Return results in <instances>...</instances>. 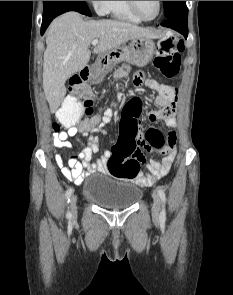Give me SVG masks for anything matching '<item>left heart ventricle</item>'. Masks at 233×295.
I'll return each instance as SVG.
<instances>
[{
  "label": "left heart ventricle",
  "mask_w": 233,
  "mask_h": 295,
  "mask_svg": "<svg viewBox=\"0 0 233 295\" xmlns=\"http://www.w3.org/2000/svg\"><path fill=\"white\" fill-rule=\"evenodd\" d=\"M139 13L145 18H152L158 9L157 1H136Z\"/></svg>",
  "instance_id": "b2bd125f"
}]
</instances>
